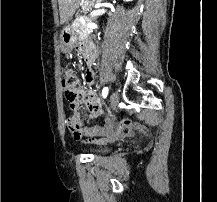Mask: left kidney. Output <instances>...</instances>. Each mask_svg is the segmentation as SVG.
<instances>
[{"mask_svg":"<svg viewBox=\"0 0 217 202\" xmlns=\"http://www.w3.org/2000/svg\"><path fill=\"white\" fill-rule=\"evenodd\" d=\"M124 2H132V0H124Z\"/></svg>","mask_w":217,"mask_h":202,"instance_id":"obj_1","label":"left kidney"}]
</instances>
